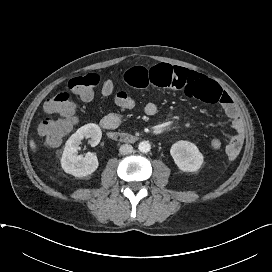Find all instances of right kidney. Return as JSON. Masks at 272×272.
<instances>
[{
    "label": "right kidney",
    "instance_id": "obj_1",
    "mask_svg": "<svg viewBox=\"0 0 272 272\" xmlns=\"http://www.w3.org/2000/svg\"><path fill=\"white\" fill-rule=\"evenodd\" d=\"M101 137L102 131L97 124L90 123L80 127L65 144L61 158L63 170L76 177H84L96 171L99 165L97 156L89 152L83 157L78 155V150L84 138H90L89 143L94 147L99 144Z\"/></svg>",
    "mask_w": 272,
    "mask_h": 272
}]
</instances>
